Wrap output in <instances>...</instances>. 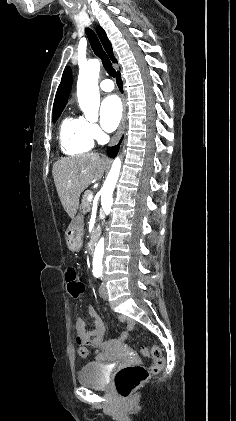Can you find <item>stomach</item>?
<instances>
[{"mask_svg":"<svg viewBox=\"0 0 236 421\" xmlns=\"http://www.w3.org/2000/svg\"><path fill=\"white\" fill-rule=\"evenodd\" d=\"M66 243L70 251H80L83 245L84 225L82 217L72 219L66 233Z\"/></svg>","mask_w":236,"mask_h":421,"instance_id":"stomach-1","label":"stomach"}]
</instances>
